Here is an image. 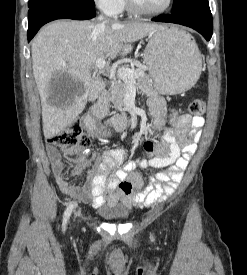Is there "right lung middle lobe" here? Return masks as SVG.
<instances>
[{"instance_id": "obj_1", "label": "right lung middle lobe", "mask_w": 247, "mask_h": 275, "mask_svg": "<svg viewBox=\"0 0 247 275\" xmlns=\"http://www.w3.org/2000/svg\"><path fill=\"white\" fill-rule=\"evenodd\" d=\"M62 2L68 5L78 6V7H85V8H94L95 3L94 0H29L28 7L32 8L35 6L49 4V3H56Z\"/></svg>"}]
</instances>
